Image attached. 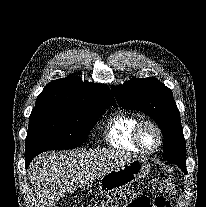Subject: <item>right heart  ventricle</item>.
<instances>
[{
  "mask_svg": "<svg viewBox=\"0 0 206 207\" xmlns=\"http://www.w3.org/2000/svg\"><path fill=\"white\" fill-rule=\"evenodd\" d=\"M139 117L125 112L113 114L106 122L105 137L108 144L117 150L141 152L133 141V131Z\"/></svg>",
  "mask_w": 206,
  "mask_h": 207,
  "instance_id": "e07e8e85",
  "label": "right heart ventricle"
}]
</instances>
